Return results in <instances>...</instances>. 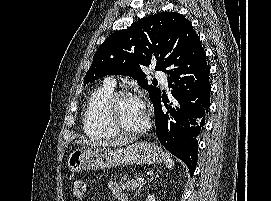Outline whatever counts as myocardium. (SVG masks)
<instances>
[{
	"mask_svg": "<svg viewBox=\"0 0 271 201\" xmlns=\"http://www.w3.org/2000/svg\"><path fill=\"white\" fill-rule=\"evenodd\" d=\"M125 98H134L139 100V98L134 93L127 90L114 92L107 101L105 108L106 116L110 124L119 135L136 136L146 132L151 125V118L148 113H146V119L143 125L136 129L127 128L119 121L116 114V108L118 103Z\"/></svg>",
	"mask_w": 271,
	"mask_h": 201,
	"instance_id": "f54148a6",
	"label": "myocardium"
}]
</instances>
